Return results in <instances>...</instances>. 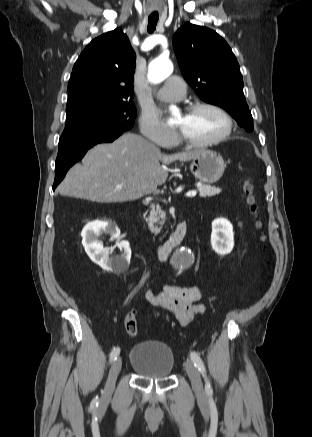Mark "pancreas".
<instances>
[{"mask_svg": "<svg viewBox=\"0 0 312 437\" xmlns=\"http://www.w3.org/2000/svg\"><path fill=\"white\" fill-rule=\"evenodd\" d=\"M200 197H212L221 192V188L212 187L209 185L198 186ZM166 219L165 212L157 205L152 206L149 217L146 219L151 232L158 234L160 226L164 225Z\"/></svg>", "mask_w": 312, "mask_h": 437, "instance_id": "pancreas-1", "label": "pancreas"}]
</instances>
